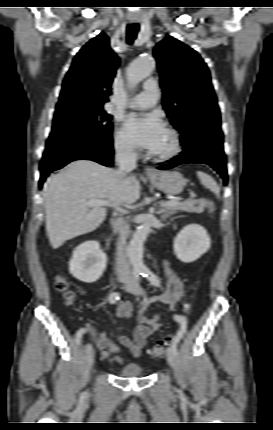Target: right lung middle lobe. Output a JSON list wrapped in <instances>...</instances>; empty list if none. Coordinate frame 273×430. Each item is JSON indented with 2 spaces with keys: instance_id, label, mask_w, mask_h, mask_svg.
<instances>
[{
  "instance_id": "dd1d6c3e",
  "label": "right lung middle lobe",
  "mask_w": 273,
  "mask_h": 430,
  "mask_svg": "<svg viewBox=\"0 0 273 430\" xmlns=\"http://www.w3.org/2000/svg\"><path fill=\"white\" fill-rule=\"evenodd\" d=\"M111 118L103 107L83 103L56 108L43 158L89 145L109 146L112 124L107 121Z\"/></svg>"
}]
</instances>
